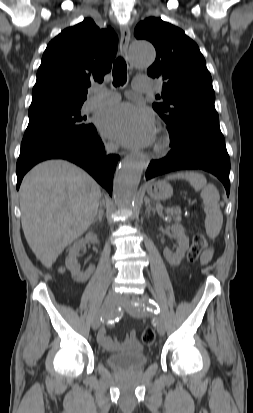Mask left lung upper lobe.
Wrapping results in <instances>:
<instances>
[{"mask_svg":"<svg viewBox=\"0 0 253 413\" xmlns=\"http://www.w3.org/2000/svg\"><path fill=\"white\" fill-rule=\"evenodd\" d=\"M134 35L155 46L156 60L147 74L163 81L154 110L174 129L195 119L219 121L215 92L206 62L197 44L180 28L161 18L149 17L137 24Z\"/></svg>","mask_w":253,"mask_h":413,"instance_id":"left-lung-upper-lobe-1","label":"left lung upper lobe"}]
</instances>
